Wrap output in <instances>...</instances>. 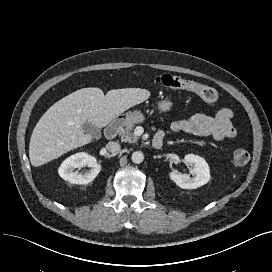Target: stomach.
<instances>
[{
    "label": "stomach",
    "mask_w": 272,
    "mask_h": 272,
    "mask_svg": "<svg viewBox=\"0 0 272 272\" xmlns=\"http://www.w3.org/2000/svg\"><path fill=\"white\" fill-rule=\"evenodd\" d=\"M172 108V102L168 99L160 100L158 102V109L162 112H167ZM144 115L141 111H129L123 115H120L118 120L121 125H129L135 123H142L144 121Z\"/></svg>",
    "instance_id": "stomach-1"
}]
</instances>
